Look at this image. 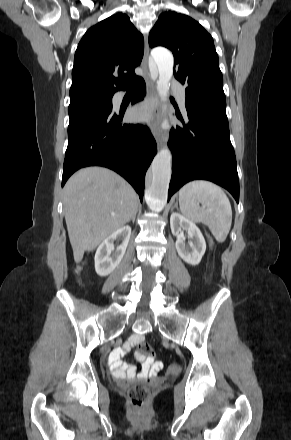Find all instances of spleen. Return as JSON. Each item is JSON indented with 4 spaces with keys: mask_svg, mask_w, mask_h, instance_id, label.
Returning <instances> with one entry per match:
<instances>
[{
    "mask_svg": "<svg viewBox=\"0 0 291 440\" xmlns=\"http://www.w3.org/2000/svg\"><path fill=\"white\" fill-rule=\"evenodd\" d=\"M179 205L186 218L208 226L217 242L226 240L232 223V209L228 197L218 185L206 180L187 183L179 192Z\"/></svg>",
    "mask_w": 291,
    "mask_h": 440,
    "instance_id": "obj_1",
    "label": "spleen"
}]
</instances>
